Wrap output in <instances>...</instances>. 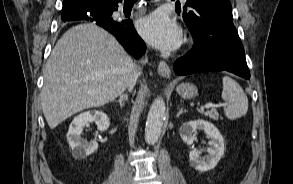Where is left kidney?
I'll return each instance as SVG.
<instances>
[{
	"label": "left kidney",
	"mask_w": 293,
	"mask_h": 184,
	"mask_svg": "<svg viewBox=\"0 0 293 184\" xmlns=\"http://www.w3.org/2000/svg\"><path fill=\"white\" fill-rule=\"evenodd\" d=\"M197 130H204V132L211 137V141L208 143L210 147L207 149L208 155L204 158L200 157V151L192 149L189 153L190 164L195 167V169L206 172L214 169L224 155V139L219 130L212 123L201 119L184 123L180 128V136L187 145H192Z\"/></svg>",
	"instance_id": "5707ae66"
}]
</instances>
